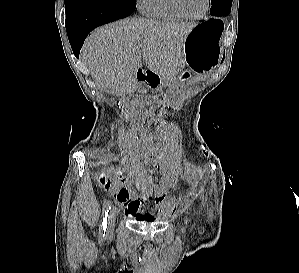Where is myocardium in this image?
Returning a JSON list of instances; mask_svg holds the SVG:
<instances>
[{
	"label": "myocardium",
	"instance_id": "obj_1",
	"mask_svg": "<svg viewBox=\"0 0 299 273\" xmlns=\"http://www.w3.org/2000/svg\"><path fill=\"white\" fill-rule=\"evenodd\" d=\"M206 1V5H205V9L204 11L198 15V16H192L190 14H188L185 9L182 6L181 0H173V3L176 7V9L185 17L191 20H200L202 19L208 12L209 7H210V0H205Z\"/></svg>",
	"mask_w": 299,
	"mask_h": 273
}]
</instances>
